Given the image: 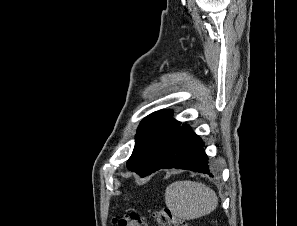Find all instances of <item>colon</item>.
<instances>
[{"mask_svg": "<svg viewBox=\"0 0 297 226\" xmlns=\"http://www.w3.org/2000/svg\"><path fill=\"white\" fill-rule=\"evenodd\" d=\"M151 219L158 226H188L187 222L176 217L168 209H160L152 214ZM149 219L141 214L131 212L117 216L113 219L114 226H148Z\"/></svg>", "mask_w": 297, "mask_h": 226, "instance_id": "obj_1", "label": "colon"}]
</instances>
